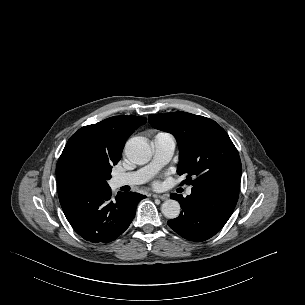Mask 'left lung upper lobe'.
<instances>
[{
    "mask_svg": "<svg viewBox=\"0 0 305 305\" xmlns=\"http://www.w3.org/2000/svg\"><path fill=\"white\" fill-rule=\"evenodd\" d=\"M148 119L154 128L176 138L180 150L177 173L187 176L186 184L201 187L212 181H240L238 151L218 123L182 111L151 114Z\"/></svg>",
    "mask_w": 305,
    "mask_h": 305,
    "instance_id": "left-lung-upper-lobe-1",
    "label": "left lung upper lobe"
}]
</instances>
